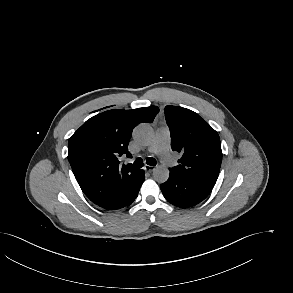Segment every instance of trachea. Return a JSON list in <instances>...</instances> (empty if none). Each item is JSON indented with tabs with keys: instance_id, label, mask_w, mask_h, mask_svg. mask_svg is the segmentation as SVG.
Listing matches in <instances>:
<instances>
[{
	"instance_id": "1",
	"label": "trachea",
	"mask_w": 293,
	"mask_h": 293,
	"mask_svg": "<svg viewBox=\"0 0 293 293\" xmlns=\"http://www.w3.org/2000/svg\"><path fill=\"white\" fill-rule=\"evenodd\" d=\"M147 164L148 165H150V166H155L156 164H157V162H156V160L154 159V158H152V157H150V158H147ZM134 167H136V168H141V167H143V160H142V158H137L136 160H135V162H134Z\"/></svg>"
}]
</instances>
